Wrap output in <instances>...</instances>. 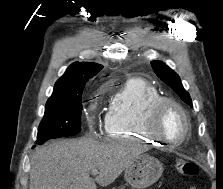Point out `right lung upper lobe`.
I'll list each match as a JSON object with an SVG mask.
<instances>
[{
  "label": "right lung upper lobe",
  "instance_id": "cb5924a9",
  "mask_svg": "<svg viewBox=\"0 0 223 189\" xmlns=\"http://www.w3.org/2000/svg\"><path fill=\"white\" fill-rule=\"evenodd\" d=\"M101 69L102 66L96 63L75 62L71 64L65 74L56 82L52 95H72L83 90L87 81Z\"/></svg>",
  "mask_w": 223,
  "mask_h": 189
}]
</instances>
